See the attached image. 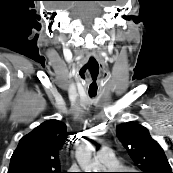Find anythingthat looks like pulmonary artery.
Returning <instances> with one entry per match:
<instances>
[{
	"instance_id": "obj_1",
	"label": "pulmonary artery",
	"mask_w": 173,
	"mask_h": 173,
	"mask_svg": "<svg viewBox=\"0 0 173 173\" xmlns=\"http://www.w3.org/2000/svg\"><path fill=\"white\" fill-rule=\"evenodd\" d=\"M95 159L109 168L116 166L115 155L110 148H101L95 154Z\"/></svg>"
}]
</instances>
